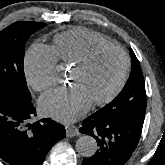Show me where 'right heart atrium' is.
I'll return each mask as SVG.
<instances>
[{
  "label": "right heart atrium",
  "instance_id": "right-heart-atrium-1",
  "mask_svg": "<svg viewBox=\"0 0 165 165\" xmlns=\"http://www.w3.org/2000/svg\"><path fill=\"white\" fill-rule=\"evenodd\" d=\"M58 58L53 48L36 43L25 56L27 82L36 91H44L57 83Z\"/></svg>",
  "mask_w": 165,
  "mask_h": 165
}]
</instances>
